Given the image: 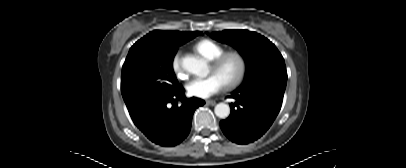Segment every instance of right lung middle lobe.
<instances>
[{
  "instance_id": "obj_1",
  "label": "right lung middle lobe",
  "mask_w": 406,
  "mask_h": 168,
  "mask_svg": "<svg viewBox=\"0 0 406 168\" xmlns=\"http://www.w3.org/2000/svg\"><path fill=\"white\" fill-rule=\"evenodd\" d=\"M177 47L135 43L122 67L121 93L133 115L175 91L180 84L172 68Z\"/></svg>"
}]
</instances>
